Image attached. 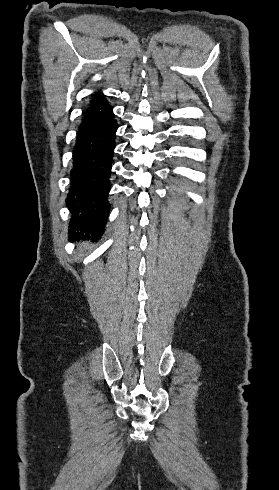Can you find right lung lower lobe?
I'll use <instances>...</instances> for the list:
<instances>
[{
    "label": "right lung lower lobe",
    "instance_id": "right-lung-lower-lobe-1",
    "mask_svg": "<svg viewBox=\"0 0 279 490\" xmlns=\"http://www.w3.org/2000/svg\"><path fill=\"white\" fill-rule=\"evenodd\" d=\"M117 122L76 139L71 185L66 206L71 212L69 239L97 241L104 234L109 215L110 170Z\"/></svg>",
    "mask_w": 279,
    "mask_h": 490
}]
</instances>
